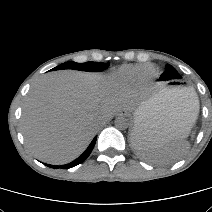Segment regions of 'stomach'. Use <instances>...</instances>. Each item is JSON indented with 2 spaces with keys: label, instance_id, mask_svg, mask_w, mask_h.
Here are the masks:
<instances>
[{
  "label": "stomach",
  "instance_id": "obj_1",
  "mask_svg": "<svg viewBox=\"0 0 212 212\" xmlns=\"http://www.w3.org/2000/svg\"><path fill=\"white\" fill-rule=\"evenodd\" d=\"M180 88L167 86L159 90L150 99L142 102L135 111V116L144 117L148 121V125L152 130L160 132L166 138H177L179 132L169 126L170 122V106L166 93L170 90ZM135 136V126L132 131V139Z\"/></svg>",
  "mask_w": 212,
  "mask_h": 212
}]
</instances>
